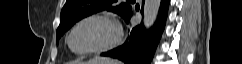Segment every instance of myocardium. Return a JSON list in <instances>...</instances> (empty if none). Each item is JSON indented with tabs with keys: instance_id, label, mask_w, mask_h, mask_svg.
<instances>
[{
	"instance_id": "1",
	"label": "myocardium",
	"mask_w": 242,
	"mask_h": 64,
	"mask_svg": "<svg viewBox=\"0 0 242 64\" xmlns=\"http://www.w3.org/2000/svg\"><path fill=\"white\" fill-rule=\"evenodd\" d=\"M94 20L105 21V22L111 24L115 30L114 37L107 43L102 44L97 47H93V48L82 50V51L74 50V48L72 47V44H71V40H72V36H73L74 32L82 24L89 22V21H94ZM122 39H123V30H122V26H121L120 22L116 18H114L110 15L96 13V14H90V15L82 17L72 26V28L70 29L69 34L67 36V44L73 53H75L77 55H89V54L102 53V52H107L109 50H112L121 43Z\"/></svg>"
}]
</instances>
